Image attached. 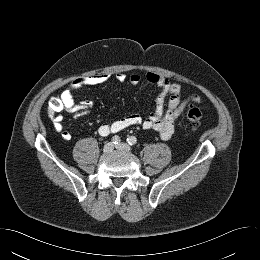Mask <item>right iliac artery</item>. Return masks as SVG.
Wrapping results in <instances>:
<instances>
[{"instance_id":"82829eb1","label":"right iliac artery","mask_w":260,"mask_h":260,"mask_svg":"<svg viewBox=\"0 0 260 260\" xmlns=\"http://www.w3.org/2000/svg\"><path fill=\"white\" fill-rule=\"evenodd\" d=\"M119 142H120V137L117 136V135L113 136V138H112V143L118 144Z\"/></svg>"}]
</instances>
